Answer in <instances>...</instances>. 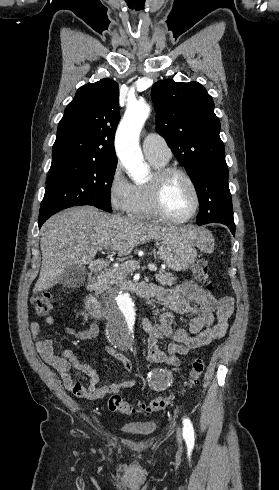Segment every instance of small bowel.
Returning a JSON list of instances; mask_svg holds the SVG:
<instances>
[{
	"label": "small bowel",
	"instance_id": "1",
	"mask_svg": "<svg viewBox=\"0 0 279 490\" xmlns=\"http://www.w3.org/2000/svg\"><path fill=\"white\" fill-rule=\"evenodd\" d=\"M141 291L156 302L163 304L167 309L158 315L156 323H152L147 318L141 320V327L147 335V360L149 362L178 366L182 357L190 351L202 348L226 334L228 319L233 311L231 298L218 299L192 281H186L168 289L156 285H143ZM176 315L191 317L189 330L174 327ZM215 315L217 322L214 324ZM54 322L53 316L44 317L46 325H53ZM30 330L42 359L57 370L66 389L75 396L97 401L108 394H116L136 385V380L125 379L97 388L99 382L97 372L90 366L80 363L74 352L69 349L64 350L61 355L54 354V342L51 338L42 335L40 322H32ZM66 333L82 341H92L97 338L99 327L96 324H91L84 329L68 327ZM170 336L173 341L164 352L159 346V340ZM111 354L120 361L126 373L131 372L132 363L127 357L114 351H111ZM71 366L75 367V374L70 372ZM77 377H88L89 385L84 387L76 380Z\"/></svg>",
	"mask_w": 279,
	"mask_h": 490
}]
</instances>
